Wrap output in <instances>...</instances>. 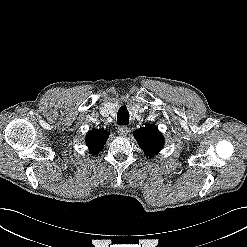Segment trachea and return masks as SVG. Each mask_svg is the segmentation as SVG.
Returning a JSON list of instances; mask_svg holds the SVG:
<instances>
[{"label":"trachea","instance_id":"obj_1","mask_svg":"<svg viewBox=\"0 0 247 247\" xmlns=\"http://www.w3.org/2000/svg\"><path fill=\"white\" fill-rule=\"evenodd\" d=\"M117 122L119 125H128L129 112L125 106H121L117 113Z\"/></svg>","mask_w":247,"mask_h":247}]
</instances>
